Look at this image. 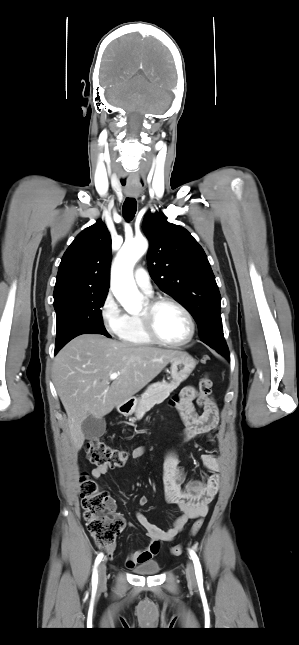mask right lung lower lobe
<instances>
[{
    "label": "right lung lower lobe",
    "mask_w": 299,
    "mask_h": 645,
    "mask_svg": "<svg viewBox=\"0 0 299 645\" xmlns=\"http://www.w3.org/2000/svg\"><path fill=\"white\" fill-rule=\"evenodd\" d=\"M60 350V349H59ZM58 352V350L55 349V353Z\"/></svg>",
    "instance_id": "right-lung-lower-lobe-1"
}]
</instances>
